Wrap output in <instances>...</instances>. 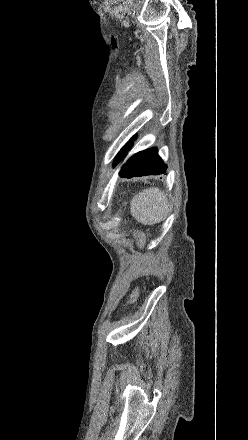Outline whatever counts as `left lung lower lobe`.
Segmentation results:
<instances>
[{
  "mask_svg": "<svg viewBox=\"0 0 248 440\" xmlns=\"http://www.w3.org/2000/svg\"><path fill=\"white\" fill-rule=\"evenodd\" d=\"M167 166L157 154L156 148L147 149L134 154L121 168L122 178L160 175L166 173Z\"/></svg>",
  "mask_w": 248,
  "mask_h": 440,
  "instance_id": "0a47b994",
  "label": "left lung lower lobe"
}]
</instances>
